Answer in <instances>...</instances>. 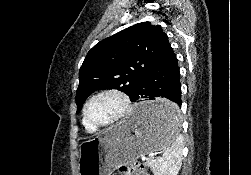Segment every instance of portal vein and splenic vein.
Masks as SVG:
<instances>
[{"instance_id":"18ae733b","label":"portal vein and splenic vein","mask_w":251,"mask_h":175,"mask_svg":"<svg viewBox=\"0 0 251 175\" xmlns=\"http://www.w3.org/2000/svg\"><path fill=\"white\" fill-rule=\"evenodd\" d=\"M162 155H163L162 151H152L151 153H145L144 155H141L140 161L146 162L147 158H155L156 156H162Z\"/></svg>"}]
</instances>
